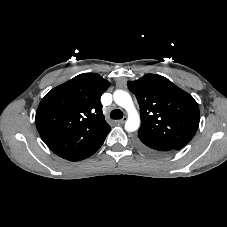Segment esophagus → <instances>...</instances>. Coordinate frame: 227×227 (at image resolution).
I'll return each instance as SVG.
<instances>
[{"instance_id": "obj_1", "label": "esophagus", "mask_w": 227, "mask_h": 227, "mask_svg": "<svg viewBox=\"0 0 227 227\" xmlns=\"http://www.w3.org/2000/svg\"><path fill=\"white\" fill-rule=\"evenodd\" d=\"M126 120H127V118L126 117H123L122 119L118 120L117 123L118 124H123V123L126 122Z\"/></svg>"}]
</instances>
